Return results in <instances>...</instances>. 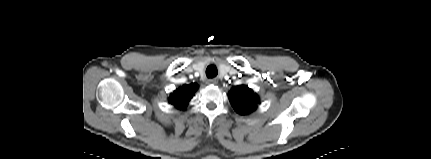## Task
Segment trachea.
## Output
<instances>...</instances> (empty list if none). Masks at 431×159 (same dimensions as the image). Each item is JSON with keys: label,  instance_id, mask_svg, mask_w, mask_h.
Here are the masks:
<instances>
[{"label": "trachea", "instance_id": "3493384b", "mask_svg": "<svg viewBox=\"0 0 431 159\" xmlns=\"http://www.w3.org/2000/svg\"><path fill=\"white\" fill-rule=\"evenodd\" d=\"M218 74V70L215 65H209L206 69V75L208 78H213Z\"/></svg>", "mask_w": 431, "mask_h": 159}]
</instances>
